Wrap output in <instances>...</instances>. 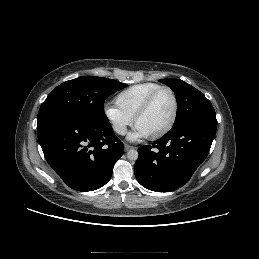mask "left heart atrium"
<instances>
[{"mask_svg": "<svg viewBox=\"0 0 259 259\" xmlns=\"http://www.w3.org/2000/svg\"><path fill=\"white\" fill-rule=\"evenodd\" d=\"M145 137H147V135L137 127L128 136L129 140H131V141H138V140H140L142 138H145Z\"/></svg>", "mask_w": 259, "mask_h": 259, "instance_id": "39dd6f15", "label": "left heart atrium"}]
</instances>
